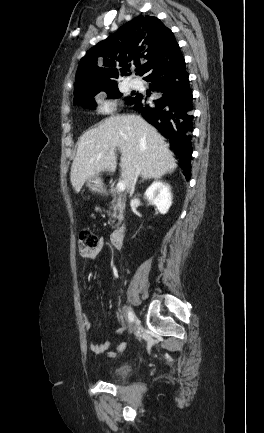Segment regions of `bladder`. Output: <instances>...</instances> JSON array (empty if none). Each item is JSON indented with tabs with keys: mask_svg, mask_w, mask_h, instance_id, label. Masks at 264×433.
<instances>
[{
	"mask_svg": "<svg viewBox=\"0 0 264 433\" xmlns=\"http://www.w3.org/2000/svg\"><path fill=\"white\" fill-rule=\"evenodd\" d=\"M130 371L129 365H121L118 367L113 368L109 374L108 377L111 380H120L124 378Z\"/></svg>",
	"mask_w": 264,
	"mask_h": 433,
	"instance_id": "1",
	"label": "bladder"
}]
</instances>
